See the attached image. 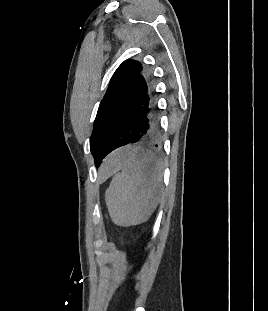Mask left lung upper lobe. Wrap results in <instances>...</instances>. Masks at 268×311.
Returning <instances> with one entry per match:
<instances>
[{
    "label": "left lung upper lobe",
    "instance_id": "left-lung-upper-lobe-1",
    "mask_svg": "<svg viewBox=\"0 0 268 311\" xmlns=\"http://www.w3.org/2000/svg\"><path fill=\"white\" fill-rule=\"evenodd\" d=\"M137 60H125L113 74L109 87L99 105L90 138V149L98 167L104 158V152L123 123L122 113L130 101L132 88L143 69ZM124 124V123H123Z\"/></svg>",
    "mask_w": 268,
    "mask_h": 311
}]
</instances>
